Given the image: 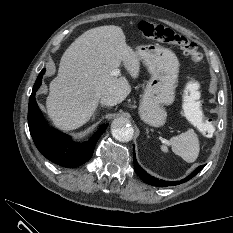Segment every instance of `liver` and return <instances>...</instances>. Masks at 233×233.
I'll list each match as a JSON object with an SVG mask.
<instances>
[{
  "label": "liver",
  "instance_id": "1",
  "mask_svg": "<svg viewBox=\"0 0 233 233\" xmlns=\"http://www.w3.org/2000/svg\"><path fill=\"white\" fill-rule=\"evenodd\" d=\"M138 54L118 26H100L80 35L64 52L49 87L47 112L53 124L69 131L88 122L106 94L121 103L131 92L125 77L110 73L121 62L133 79L139 76Z\"/></svg>",
  "mask_w": 233,
  "mask_h": 233
}]
</instances>
